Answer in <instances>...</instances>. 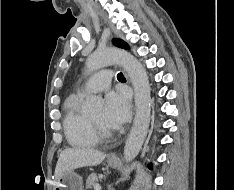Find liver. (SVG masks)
I'll list each match as a JSON object with an SVG mask.
<instances>
[{
	"label": "liver",
	"instance_id": "6515ba94",
	"mask_svg": "<svg viewBox=\"0 0 234 190\" xmlns=\"http://www.w3.org/2000/svg\"><path fill=\"white\" fill-rule=\"evenodd\" d=\"M105 157L106 155L103 152L95 149L67 148L59 155L54 173L55 180L66 171L99 165Z\"/></svg>",
	"mask_w": 234,
	"mask_h": 190
}]
</instances>
